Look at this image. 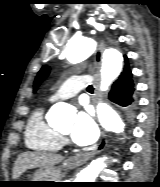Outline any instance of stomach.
Returning a JSON list of instances; mask_svg holds the SVG:
<instances>
[{"mask_svg":"<svg viewBox=\"0 0 160 187\" xmlns=\"http://www.w3.org/2000/svg\"><path fill=\"white\" fill-rule=\"evenodd\" d=\"M61 178L60 170L55 167L40 168L37 170L28 186L30 187H48L54 186L50 182H60L58 181Z\"/></svg>","mask_w":160,"mask_h":187,"instance_id":"obj_1","label":"stomach"}]
</instances>
